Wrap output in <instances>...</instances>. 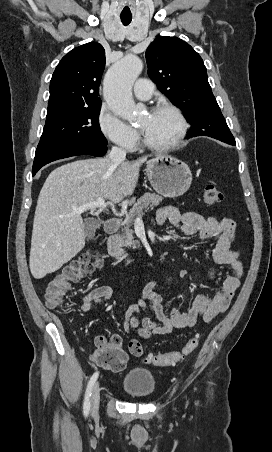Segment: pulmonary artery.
I'll use <instances>...</instances> for the list:
<instances>
[{
	"label": "pulmonary artery",
	"instance_id": "e3ab8cb5",
	"mask_svg": "<svg viewBox=\"0 0 272 452\" xmlns=\"http://www.w3.org/2000/svg\"><path fill=\"white\" fill-rule=\"evenodd\" d=\"M154 91V85L151 81L141 78L133 88L134 95L139 100H148L151 98Z\"/></svg>",
	"mask_w": 272,
	"mask_h": 452
}]
</instances>
